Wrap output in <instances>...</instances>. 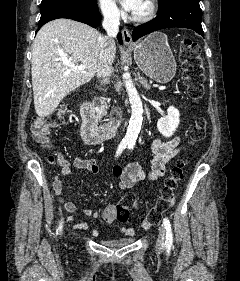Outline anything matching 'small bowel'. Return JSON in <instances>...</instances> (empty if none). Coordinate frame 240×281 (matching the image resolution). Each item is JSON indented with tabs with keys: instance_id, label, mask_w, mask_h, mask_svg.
Listing matches in <instances>:
<instances>
[{
	"instance_id": "c3829d8e",
	"label": "small bowel",
	"mask_w": 240,
	"mask_h": 281,
	"mask_svg": "<svg viewBox=\"0 0 240 281\" xmlns=\"http://www.w3.org/2000/svg\"><path fill=\"white\" fill-rule=\"evenodd\" d=\"M182 148L183 146L181 145V138L179 136L168 141H164L161 138L154 139L150 144V151L153 155V159L149 171L144 170L137 163H131L125 167H113V174L120 179L119 189L121 191L142 190L143 187L141 182L144 180L153 181L162 177L166 172V165L181 151ZM58 164L61 168L62 175L66 178L71 177L72 167L80 170H86L93 174H99L100 172L99 166L94 159L83 158L80 156L75 157L73 162H70L62 155H59ZM52 187L64 209L70 213L75 212L77 210L76 205L70 201H65L62 197V182L59 179H55ZM175 200L176 197L173 196L170 205H173ZM82 213L85 216L92 218H97L99 216V214L92 209H83ZM102 218L106 224H113L116 221V204L107 205L102 212ZM68 220H72V218H68ZM74 228L87 230L88 224L80 222L75 224ZM118 231L120 234H131L133 232L132 229L124 227L119 228ZM92 234L97 236L98 231L93 230Z\"/></svg>"
}]
</instances>
